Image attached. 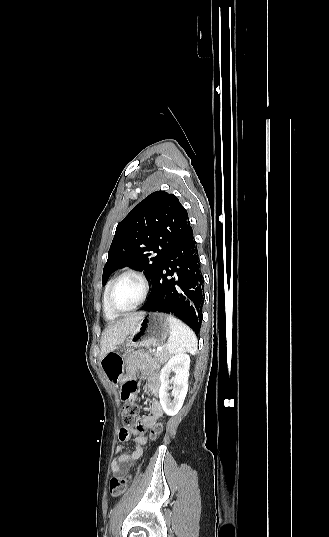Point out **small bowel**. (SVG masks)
<instances>
[{
    "instance_id": "obj_1",
    "label": "small bowel",
    "mask_w": 329,
    "mask_h": 537,
    "mask_svg": "<svg viewBox=\"0 0 329 537\" xmlns=\"http://www.w3.org/2000/svg\"><path fill=\"white\" fill-rule=\"evenodd\" d=\"M127 374L130 379L129 381H124L122 383V392L120 396L123 398V402L133 398L134 393L138 392L140 389L139 382L137 379L133 378L137 375L146 379L147 381V390L156 398L153 400L150 413L144 417L141 428L136 430L126 429L120 431L119 438L123 443L136 441V449L132 454H125L123 450L125 448L124 444L118 445L116 447L117 456L112 462V471L114 474L120 475L125 472L123 465L131 464L135 460H138L142 454L143 449L142 445L146 443V436L143 432V429L153 428L158 424L159 419L163 415L162 406L158 400L160 392V380L158 373V365L147 355V354H133L127 359Z\"/></svg>"
}]
</instances>
